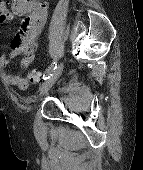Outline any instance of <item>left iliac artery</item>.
<instances>
[{"label": "left iliac artery", "instance_id": "left-iliac-artery-1", "mask_svg": "<svg viewBox=\"0 0 143 170\" xmlns=\"http://www.w3.org/2000/svg\"><path fill=\"white\" fill-rule=\"evenodd\" d=\"M57 68V62L53 61L52 64L48 67V69L43 74V79L47 80L53 74L54 70Z\"/></svg>", "mask_w": 143, "mask_h": 170}]
</instances>
